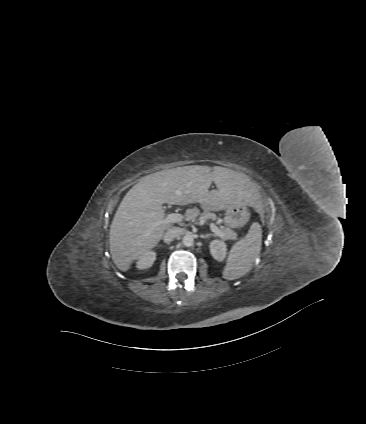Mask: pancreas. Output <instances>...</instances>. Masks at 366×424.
Returning <instances> with one entry per match:
<instances>
[{
    "label": "pancreas",
    "mask_w": 366,
    "mask_h": 424,
    "mask_svg": "<svg viewBox=\"0 0 366 424\" xmlns=\"http://www.w3.org/2000/svg\"><path fill=\"white\" fill-rule=\"evenodd\" d=\"M197 215H198V211H197V209H193V210H191V212H190V214H189V216H190V218H191V219H195V218L197 217ZM201 217H202L204 220H208V219H213V218H215V215H214V214H212V213H210L209 211H205V212L201 215ZM220 230H221V232L223 233L224 238L229 239V240H234V239H236V234H235V233H234L231 229H229V228H225V227L221 226V227H220Z\"/></svg>",
    "instance_id": "1"
}]
</instances>
